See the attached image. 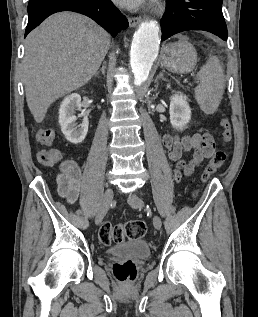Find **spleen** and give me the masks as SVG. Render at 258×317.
I'll list each match as a JSON object with an SVG mask.
<instances>
[{
  "label": "spleen",
  "mask_w": 258,
  "mask_h": 317,
  "mask_svg": "<svg viewBox=\"0 0 258 317\" xmlns=\"http://www.w3.org/2000/svg\"><path fill=\"white\" fill-rule=\"evenodd\" d=\"M200 84L195 88V98L205 114L217 110L224 92V74L217 56L208 58L201 70L197 72Z\"/></svg>",
  "instance_id": "3e777b00"
}]
</instances>
